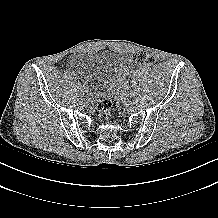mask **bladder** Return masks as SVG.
Masks as SVG:
<instances>
[{"label": "bladder", "mask_w": 218, "mask_h": 218, "mask_svg": "<svg viewBox=\"0 0 218 218\" xmlns=\"http://www.w3.org/2000/svg\"><path fill=\"white\" fill-rule=\"evenodd\" d=\"M87 91L93 99L107 98L121 79L119 57L113 52L83 53L78 55Z\"/></svg>", "instance_id": "bladder-1"}]
</instances>
